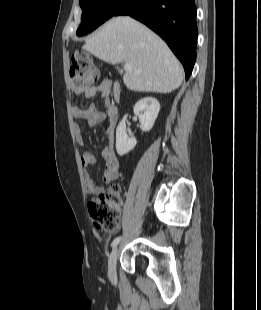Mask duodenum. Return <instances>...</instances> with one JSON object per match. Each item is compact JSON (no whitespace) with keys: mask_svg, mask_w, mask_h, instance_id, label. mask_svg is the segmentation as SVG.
Listing matches in <instances>:
<instances>
[{"mask_svg":"<svg viewBox=\"0 0 261 310\" xmlns=\"http://www.w3.org/2000/svg\"><path fill=\"white\" fill-rule=\"evenodd\" d=\"M114 94H115V95H118V94H119V86H118V84H114ZM117 118H118L117 111L114 110L113 113H112V115H111V120H112V122L116 124Z\"/></svg>","mask_w":261,"mask_h":310,"instance_id":"1","label":"duodenum"}]
</instances>
